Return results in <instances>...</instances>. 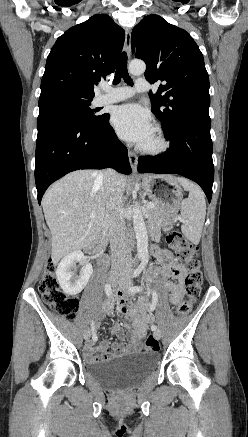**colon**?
<instances>
[{"mask_svg":"<svg viewBox=\"0 0 248 437\" xmlns=\"http://www.w3.org/2000/svg\"><path fill=\"white\" fill-rule=\"evenodd\" d=\"M169 245L185 263L188 273L185 278V297L176 307L179 315H187L202 289L203 276L198 258V250L180 232L173 231L167 237ZM39 291L44 302L64 318L71 320L76 316L78 300L67 295L59 286L56 278V265L48 263L39 283ZM159 341L148 336L145 341L146 351H158Z\"/></svg>","mask_w":248,"mask_h":437,"instance_id":"1","label":"colon"}]
</instances>
